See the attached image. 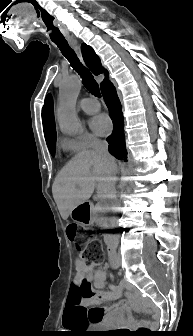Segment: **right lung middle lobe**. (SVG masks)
<instances>
[{
  "label": "right lung middle lobe",
  "instance_id": "obj_1",
  "mask_svg": "<svg viewBox=\"0 0 193 336\" xmlns=\"http://www.w3.org/2000/svg\"><path fill=\"white\" fill-rule=\"evenodd\" d=\"M55 141H56V138H53L52 140L47 142L48 149L52 156H54V153H55Z\"/></svg>",
  "mask_w": 193,
  "mask_h": 336
}]
</instances>
